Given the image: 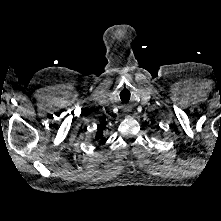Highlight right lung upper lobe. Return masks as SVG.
<instances>
[{
	"label": "right lung upper lobe",
	"mask_w": 221,
	"mask_h": 221,
	"mask_svg": "<svg viewBox=\"0 0 221 221\" xmlns=\"http://www.w3.org/2000/svg\"><path fill=\"white\" fill-rule=\"evenodd\" d=\"M103 129H104V126H98V131L95 136L96 140L105 141V139L103 138Z\"/></svg>",
	"instance_id": "cb5924a9"
}]
</instances>
